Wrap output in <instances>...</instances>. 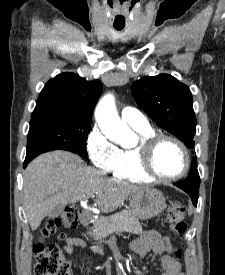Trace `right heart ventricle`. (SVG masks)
Wrapping results in <instances>:
<instances>
[{"mask_svg":"<svg viewBox=\"0 0 225 275\" xmlns=\"http://www.w3.org/2000/svg\"><path fill=\"white\" fill-rule=\"evenodd\" d=\"M133 128L140 134L141 138L155 134L150 126L146 128ZM111 172L116 178L134 183L152 181V179L146 176L139 168V157L136 148L120 150L119 159Z\"/></svg>","mask_w":225,"mask_h":275,"instance_id":"right-heart-ventricle-1","label":"right heart ventricle"}]
</instances>
